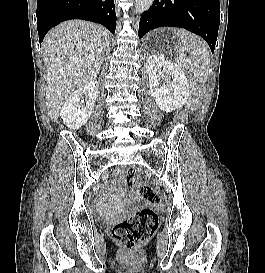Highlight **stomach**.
<instances>
[{
    "instance_id": "obj_1",
    "label": "stomach",
    "mask_w": 265,
    "mask_h": 273,
    "mask_svg": "<svg viewBox=\"0 0 265 273\" xmlns=\"http://www.w3.org/2000/svg\"><path fill=\"white\" fill-rule=\"evenodd\" d=\"M181 30H153V35H146V40H141L142 49H175L177 35ZM151 56H173V51H151Z\"/></svg>"
}]
</instances>
